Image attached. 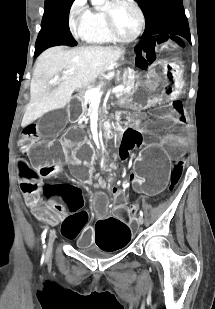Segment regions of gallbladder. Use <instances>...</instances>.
<instances>
[{
  "instance_id": "1",
  "label": "gallbladder",
  "mask_w": 215,
  "mask_h": 309,
  "mask_svg": "<svg viewBox=\"0 0 215 309\" xmlns=\"http://www.w3.org/2000/svg\"><path fill=\"white\" fill-rule=\"evenodd\" d=\"M65 114L64 109H55L52 113H44L43 120L36 127L39 135L54 136L55 132H61V125L66 121Z\"/></svg>"
}]
</instances>
